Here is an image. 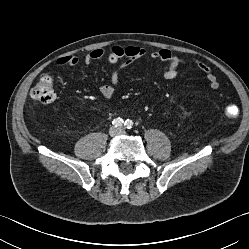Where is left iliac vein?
I'll list each match as a JSON object with an SVG mask.
<instances>
[{"mask_svg": "<svg viewBox=\"0 0 249 249\" xmlns=\"http://www.w3.org/2000/svg\"><path fill=\"white\" fill-rule=\"evenodd\" d=\"M120 133H121V134H124V132H123L122 130H120Z\"/></svg>", "mask_w": 249, "mask_h": 249, "instance_id": "left-iliac-vein-1", "label": "left iliac vein"}]
</instances>
